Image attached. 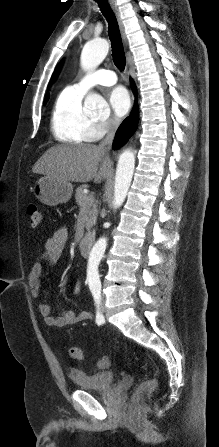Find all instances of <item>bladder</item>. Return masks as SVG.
I'll return each instance as SVG.
<instances>
[{
    "label": "bladder",
    "mask_w": 219,
    "mask_h": 447,
    "mask_svg": "<svg viewBox=\"0 0 219 447\" xmlns=\"http://www.w3.org/2000/svg\"><path fill=\"white\" fill-rule=\"evenodd\" d=\"M68 375L79 389L94 392L111 388L115 379L114 373L111 371L88 373L79 369H70Z\"/></svg>",
    "instance_id": "bladder-1"
}]
</instances>
